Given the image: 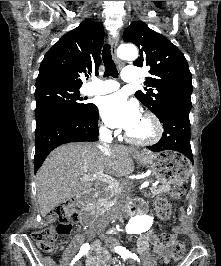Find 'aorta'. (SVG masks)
<instances>
[{"instance_id":"1","label":"aorta","mask_w":221,"mask_h":266,"mask_svg":"<svg viewBox=\"0 0 221 266\" xmlns=\"http://www.w3.org/2000/svg\"><path fill=\"white\" fill-rule=\"evenodd\" d=\"M117 54L122 60L134 61L138 57V50L132 44H122L119 46ZM151 219L147 215H136L132 217L125 227L129 234H139L149 229Z\"/></svg>"}]
</instances>
